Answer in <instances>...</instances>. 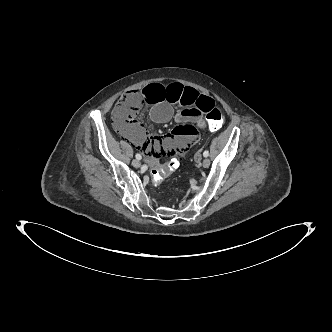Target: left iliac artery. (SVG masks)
I'll return each instance as SVG.
<instances>
[{"label": "left iliac artery", "instance_id": "obj_1", "mask_svg": "<svg viewBox=\"0 0 332 332\" xmlns=\"http://www.w3.org/2000/svg\"><path fill=\"white\" fill-rule=\"evenodd\" d=\"M203 156H204V157H208V156H209V151H208V150H205V151L203 152Z\"/></svg>", "mask_w": 332, "mask_h": 332}]
</instances>
